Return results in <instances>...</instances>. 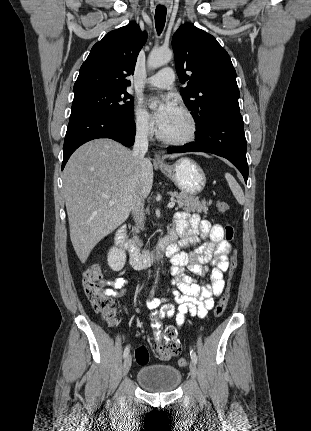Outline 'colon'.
Returning <instances> with one entry per match:
<instances>
[{"instance_id":"obj_1","label":"colon","mask_w":311,"mask_h":431,"mask_svg":"<svg viewBox=\"0 0 311 431\" xmlns=\"http://www.w3.org/2000/svg\"><path fill=\"white\" fill-rule=\"evenodd\" d=\"M217 209L226 213L229 211L230 206L226 201L218 200L216 202ZM235 227L231 223H227L224 228L225 239L228 242H233L235 239ZM238 267V260L236 252L233 253L230 260L228 269V281L223 291L222 296L219 299L215 309L214 316L220 317L229 302L230 294L232 290V279L235 271ZM83 287L85 293L90 300L94 310L100 315V317L108 324L115 326L118 323L117 310L113 304V301L106 295L102 285V270L101 266L96 263L87 268L83 273ZM181 350L180 344L173 340H157L154 344V353L160 359H169L174 355L178 354ZM136 362L139 365H145L149 360L148 350L144 345H141L136 350ZM178 364L180 366H186L187 361L184 358L179 359Z\"/></svg>"}]
</instances>
